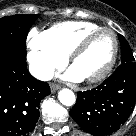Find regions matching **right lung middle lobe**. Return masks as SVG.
Listing matches in <instances>:
<instances>
[{
    "label": "right lung middle lobe",
    "instance_id": "1",
    "mask_svg": "<svg viewBox=\"0 0 136 136\" xmlns=\"http://www.w3.org/2000/svg\"><path fill=\"white\" fill-rule=\"evenodd\" d=\"M37 18V14H32L0 19V58L26 60L27 33Z\"/></svg>",
    "mask_w": 136,
    "mask_h": 136
}]
</instances>
